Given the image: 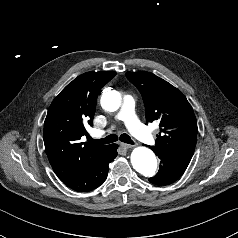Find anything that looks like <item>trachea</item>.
<instances>
[{"label": "trachea", "instance_id": "trachea-1", "mask_svg": "<svg viewBox=\"0 0 238 238\" xmlns=\"http://www.w3.org/2000/svg\"><path fill=\"white\" fill-rule=\"evenodd\" d=\"M88 139L90 142H93L95 144H110L117 141L118 136L115 134H110L107 137L102 139H93L91 137H89ZM119 140L127 144H134L130 136L125 133L120 135Z\"/></svg>", "mask_w": 238, "mask_h": 238}]
</instances>
